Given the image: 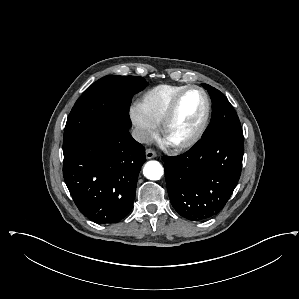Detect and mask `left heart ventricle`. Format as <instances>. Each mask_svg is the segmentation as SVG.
Instances as JSON below:
<instances>
[{"mask_svg": "<svg viewBox=\"0 0 299 299\" xmlns=\"http://www.w3.org/2000/svg\"><path fill=\"white\" fill-rule=\"evenodd\" d=\"M204 108V98L200 92L186 93L169 128L168 139L172 142H180L189 137L198 127Z\"/></svg>", "mask_w": 299, "mask_h": 299, "instance_id": "obj_1", "label": "left heart ventricle"}]
</instances>
